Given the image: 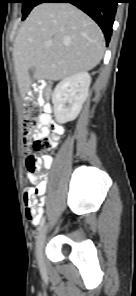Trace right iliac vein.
Wrapping results in <instances>:
<instances>
[{"instance_id": "1", "label": "right iliac vein", "mask_w": 136, "mask_h": 296, "mask_svg": "<svg viewBox=\"0 0 136 296\" xmlns=\"http://www.w3.org/2000/svg\"><path fill=\"white\" fill-rule=\"evenodd\" d=\"M46 231H47V227L45 226L39 236H38V240H37V260H38V264L40 267H43V247H44V242H45V238H46Z\"/></svg>"}]
</instances>
